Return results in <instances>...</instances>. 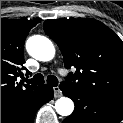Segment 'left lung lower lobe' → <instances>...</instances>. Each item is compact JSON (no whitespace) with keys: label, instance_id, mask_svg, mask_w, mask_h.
I'll return each mask as SVG.
<instances>
[{"label":"left lung lower lobe","instance_id":"left-lung-lower-lobe-1","mask_svg":"<svg viewBox=\"0 0 123 123\" xmlns=\"http://www.w3.org/2000/svg\"><path fill=\"white\" fill-rule=\"evenodd\" d=\"M65 96L75 103L74 112L62 123H120L123 118V104L76 90L60 84Z\"/></svg>","mask_w":123,"mask_h":123}]
</instances>
